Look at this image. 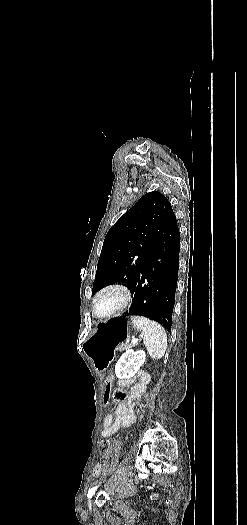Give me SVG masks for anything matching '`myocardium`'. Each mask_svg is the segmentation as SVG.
Instances as JSON below:
<instances>
[{"mask_svg":"<svg viewBox=\"0 0 247 525\" xmlns=\"http://www.w3.org/2000/svg\"><path fill=\"white\" fill-rule=\"evenodd\" d=\"M109 290L117 291V292L122 293V295H123L122 300L116 307H114L112 309H109L107 311H104V312H98L97 309H96V301H97L98 297L103 292L109 291ZM130 299H131V290H130V288L126 284H124L122 282L112 281V282H109V283H106V284L102 285L95 292V294L92 297V301H91V310H92L93 315L95 317H97V318H101V319L109 318V317H112V316H114L116 314L121 313L126 308V306L128 305Z\"/></svg>","mask_w":247,"mask_h":525,"instance_id":"f54148a6","label":"myocardium"}]
</instances>
